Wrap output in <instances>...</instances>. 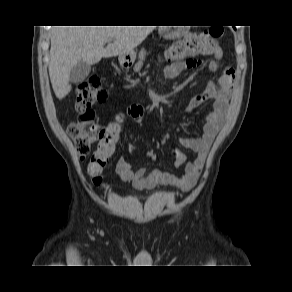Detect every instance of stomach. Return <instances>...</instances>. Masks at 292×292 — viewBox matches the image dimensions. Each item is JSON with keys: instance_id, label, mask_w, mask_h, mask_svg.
I'll return each instance as SVG.
<instances>
[{"instance_id": "0dacf381", "label": "stomach", "mask_w": 292, "mask_h": 292, "mask_svg": "<svg viewBox=\"0 0 292 292\" xmlns=\"http://www.w3.org/2000/svg\"><path fill=\"white\" fill-rule=\"evenodd\" d=\"M161 33L164 35L166 38H177L180 35L177 32H169L167 29L162 28ZM136 58V52L133 50L128 54L125 55H120L119 56V61L122 64H131L135 61Z\"/></svg>"}]
</instances>
